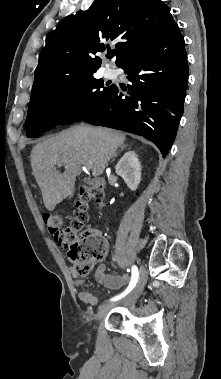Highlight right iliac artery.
<instances>
[{"instance_id": "82829eb1", "label": "right iliac artery", "mask_w": 221, "mask_h": 379, "mask_svg": "<svg viewBox=\"0 0 221 379\" xmlns=\"http://www.w3.org/2000/svg\"><path fill=\"white\" fill-rule=\"evenodd\" d=\"M138 278H139V271H138V268L134 265L132 267V276H131V281H130L128 287L120 295H117V296L111 298L110 301H117V300L123 298L124 296H126L135 287V285L138 281Z\"/></svg>"}]
</instances>
